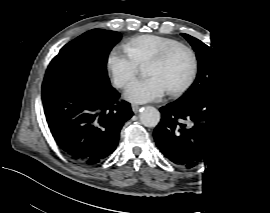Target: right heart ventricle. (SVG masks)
I'll list each match as a JSON object with an SVG mask.
<instances>
[{"instance_id":"right-heart-ventricle-1","label":"right heart ventricle","mask_w":270,"mask_h":213,"mask_svg":"<svg viewBox=\"0 0 270 213\" xmlns=\"http://www.w3.org/2000/svg\"><path fill=\"white\" fill-rule=\"evenodd\" d=\"M180 45L175 39L146 34L133 39L126 48L128 57L138 65H148L161 52Z\"/></svg>"}]
</instances>
